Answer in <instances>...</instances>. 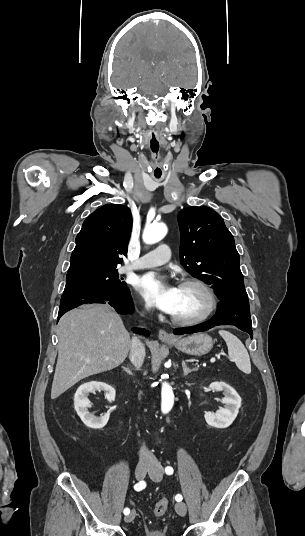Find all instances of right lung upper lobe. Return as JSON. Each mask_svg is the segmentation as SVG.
Returning a JSON list of instances; mask_svg holds the SVG:
<instances>
[{
  "mask_svg": "<svg viewBox=\"0 0 305 536\" xmlns=\"http://www.w3.org/2000/svg\"><path fill=\"white\" fill-rule=\"evenodd\" d=\"M132 229L130 209L107 204L94 211L76 237L67 277L114 270L127 254Z\"/></svg>",
  "mask_w": 305,
  "mask_h": 536,
  "instance_id": "cb5924a9",
  "label": "right lung upper lobe"
}]
</instances>
